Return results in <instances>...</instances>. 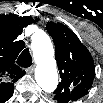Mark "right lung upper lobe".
<instances>
[{
	"mask_svg": "<svg viewBox=\"0 0 103 103\" xmlns=\"http://www.w3.org/2000/svg\"><path fill=\"white\" fill-rule=\"evenodd\" d=\"M34 20L19 15H0V97L10 98L14 82L21 78L25 71L15 64L19 52L24 47L23 41H15L17 36Z\"/></svg>",
	"mask_w": 103,
	"mask_h": 103,
	"instance_id": "1",
	"label": "right lung upper lobe"
}]
</instances>
